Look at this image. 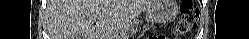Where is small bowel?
Masks as SVG:
<instances>
[{"label":"small bowel","instance_id":"1","mask_svg":"<svg viewBox=\"0 0 249 39\" xmlns=\"http://www.w3.org/2000/svg\"><path fill=\"white\" fill-rule=\"evenodd\" d=\"M148 39H165V37L156 35V36H149Z\"/></svg>","mask_w":249,"mask_h":39}]
</instances>
